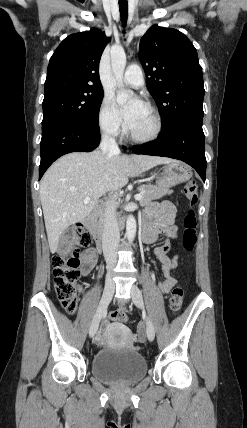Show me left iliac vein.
Instances as JSON below:
<instances>
[{
  "label": "left iliac vein",
  "mask_w": 247,
  "mask_h": 428,
  "mask_svg": "<svg viewBox=\"0 0 247 428\" xmlns=\"http://www.w3.org/2000/svg\"><path fill=\"white\" fill-rule=\"evenodd\" d=\"M131 296H132L133 303L138 308H143L144 306L143 296L140 289L136 285H132L131 287ZM146 333L149 341H153L155 337V329L152 321L149 318H147L146 320Z\"/></svg>",
  "instance_id": "left-iliac-vein-1"
}]
</instances>
